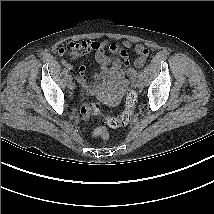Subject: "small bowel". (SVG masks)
Masks as SVG:
<instances>
[{
  "instance_id": "obj_1",
  "label": "small bowel",
  "mask_w": 214,
  "mask_h": 214,
  "mask_svg": "<svg viewBox=\"0 0 214 214\" xmlns=\"http://www.w3.org/2000/svg\"><path fill=\"white\" fill-rule=\"evenodd\" d=\"M128 43V45H129V42H127ZM87 49L88 50H91V49H94V50H96V51H100V48H101V44L100 43H98V42H88L87 43ZM131 45V44H130ZM86 46V45H85ZM99 58H100V61H104V58L101 56V55H99Z\"/></svg>"
}]
</instances>
